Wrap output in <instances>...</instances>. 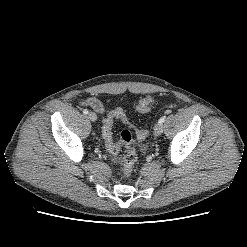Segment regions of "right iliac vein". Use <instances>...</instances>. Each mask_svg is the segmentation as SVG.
I'll use <instances>...</instances> for the list:
<instances>
[{"instance_id":"right-iliac-vein-1","label":"right iliac vein","mask_w":247,"mask_h":247,"mask_svg":"<svg viewBox=\"0 0 247 247\" xmlns=\"http://www.w3.org/2000/svg\"><path fill=\"white\" fill-rule=\"evenodd\" d=\"M88 118H89L91 121L95 122V121L97 120V115H96L94 112H90V113L88 114Z\"/></svg>"}]
</instances>
